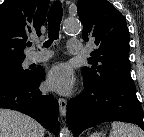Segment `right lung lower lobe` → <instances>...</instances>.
Masks as SVG:
<instances>
[{
    "label": "right lung lower lobe",
    "mask_w": 144,
    "mask_h": 137,
    "mask_svg": "<svg viewBox=\"0 0 144 137\" xmlns=\"http://www.w3.org/2000/svg\"><path fill=\"white\" fill-rule=\"evenodd\" d=\"M42 69L34 70L25 80L0 81V108L20 111L37 120L55 135L59 132L57 100L39 90Z\"/></svg>",
    "instance_id": "98d812e1"
}]
</instances>
